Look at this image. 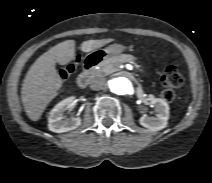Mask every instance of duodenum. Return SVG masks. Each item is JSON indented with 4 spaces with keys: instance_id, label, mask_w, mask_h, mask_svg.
I'll return each instance as SVG.
<instances>
[{
    "instance_id": "obj_1",
    "label": "duodenum",
    "mask_w": 212,
    "mask_h": 183,
    "mask_svg": "<svg viewBox=\"0 0 212 183\" xmlns=\"http://www.w3.org/2000/svg\"><path fill=\"white\" fill-rule=\"evenodd\" d=\"M100 62L97 56H88L83 63V71L77 78V85L81 88L86 87L91 79L96 65Z\"/></svg>"
}]
</instances>
